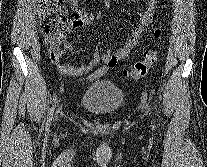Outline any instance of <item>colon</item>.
I'll use <instances>...</instances> for the list:
<instances>
[{
  "label": "colon",
  "mask_w": 207,
  "mask_h": 167,
  "mask_svg": "<svg viewBox=\"0 0 207 167\" xmlns=\"http://www.w3.org/2000/svg\"><path fill=\"white\" fill-rule=\"evenodd\" d=\"M42 33L49 45H56L67 28L68 18L62 0H43L41 8ZM155 37L160 38L163 34L162 28H157ZM158 53L155 50L148 51L141 61H138L132 68L124 71V76L129 79L145 77L155 65Z\"/></svg>",
  "instance_id": "colon-1"
}]
</instances>
